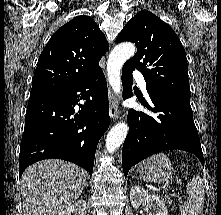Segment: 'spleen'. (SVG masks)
Segmentation results:
<instances>
[{
  "mask_svg": "<svg viewBox=\"0 0 221 215\" xmlns=\"http://www.w3.org/2000/svg\"><path fill=\"white\" fill-rule=\"evenodd\" d=\"M188 198L179 210L181 215H199L204 204V183L200 177H194L187 184Z\"/></svg>",
  "mask_w": 221,
  "mask_h": 215,
  "instance_id": "obj_1",
  "label": "spleen"
}]
</instances>
